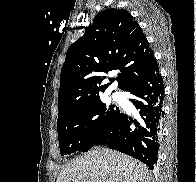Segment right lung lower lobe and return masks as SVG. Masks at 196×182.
I'll list each match as a JSON object with an SVG mask.
<instances>
[{
	"label": "right lung lower lobe",
	"instance_id": "obj_1",
	"mask_svg": "<svg viewBox=\"0 0 196 182\" xmlns=\"http://www.w3.org/2000/svg\"><path fill=\"white\" fill-rule=\"evenodd\" d=\"M125 91L135 96L130 101L140 110L139 119L133 120L120 112L94 145L107 144L142 161L153 170L157 163L164 115V84L156 59L145 72L130 82Z\"/></svg>",
	"mask_w": 196,
	"mask_h": 182
}]
</instances>
